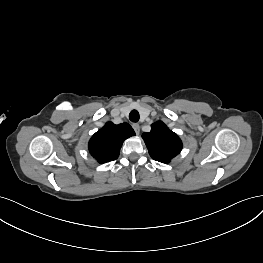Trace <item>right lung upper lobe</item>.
<instances>
[{"instance_id":"obj_1","label":"right lung upper lobe","mask_w":263,"mask_h":263,"mask_svg":"<svg viewBox=\"0 0 263 263\" xmlns=\"http://www.w3.org/2000/svg\"><path fill=\"white\" fill-rule=\"evenodd\" d=\"M134 135L128 123L115 125L107 122L90 139L89 151L99 163L113 161L118 158L124 140Z\"/></svg>"}]
</instances>
